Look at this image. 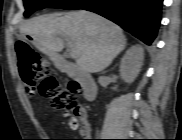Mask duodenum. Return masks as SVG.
Returning <instances> with one entry per match:
<instances>
[{"label": "duodenum", "instance_id": "duodenum-1", "mask_svg": "<svg viewBox=\"0 0 182 140\" xmlns=\"http://www.w3.org/2000/svg\"><path fill=\"white\" fill-rule=\"evenodd\" d=\"M57 69L65 71L72 77L79 80L83 86V97L87 101H92L96 97L97 86L93 78L82 70L78 69L70 58L63 55L55 62Z\"/></svg>", "mask_w": 182, "mask_h": 140}]
</instances>
